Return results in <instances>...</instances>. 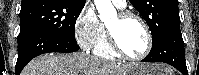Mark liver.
Masks as SVG:
<instances>
[{
    "label": "liver",
    "mask_w": 199,
    "mask_h": 75,
    "mask_svg": "<svg viewBox=\"0 0 199 75\" xmlns=\"http://www.w3.org/2000/svg\"><path fill=\"white\" fill-rule=\"evenodd\" d=\"M130 67L106 62L83 52L51 53L33 59L21 75H126Z\"/></svg>",
    "instance_id": "1"
}]
</instances>
